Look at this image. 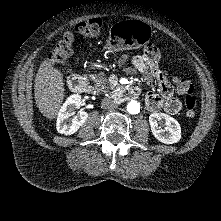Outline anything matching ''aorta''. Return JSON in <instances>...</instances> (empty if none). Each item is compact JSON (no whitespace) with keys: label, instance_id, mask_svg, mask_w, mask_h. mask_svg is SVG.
Returning <instances> with one entry per match:
<instances>
[{"label":"aorta","instance_id":"762f6f07","mask_svg":"<svg viewBox=\"0 0 221 221\" xmlns=\"http://www.w3.org/2000/svg\"><path fill=\"white\" fill-rule=\"evenodd\" d=\"M126 108L130 114H138L140 112V104L135 100H131Z\"/></svg>","mask_w":221,"mask_h":221}]
</instances>
